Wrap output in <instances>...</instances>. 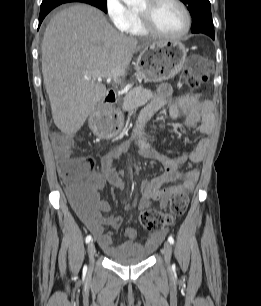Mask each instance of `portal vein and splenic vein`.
<instances>
[{
  "mask_svg": "<svg viewBox=\"0 0 261 306\" xmlns=\"http://www.w3.org/2000/svg\"><path fill=\"white\" fill-rule=\"evenodd\" d=\"M124 74L121 69H113L107 72H95L92 75L96 76L98 81H102V78L112 79L115 83L119 84V78Z\"/></svg>",
  "mask_w": 261,
  "mask_h": 306,
  "instance_id": "portal-vein-and-splenic-vein-1",
  "label": "portal vein and splenic vein"
}]
</instances>
